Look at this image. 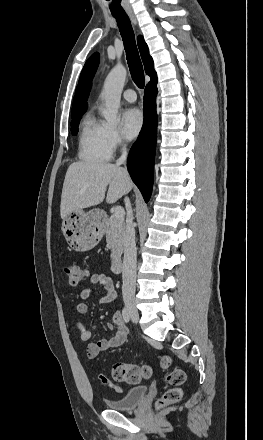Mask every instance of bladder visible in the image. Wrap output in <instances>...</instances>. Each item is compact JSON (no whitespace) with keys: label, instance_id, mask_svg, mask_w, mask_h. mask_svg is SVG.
Returning <instances> with one entry per match:
<instances>
[{"label":"bladder","instance_id":"bladder-1","mask_svg":"<svg viewBox=\"0 0 263 440\" xmlns=\"http://www.w3.org/2000/svg\"><path fill=\"white\" fill-rule=\"evenodd\" d=\"M148 388L137 386L130 388L122 397L106 399L105 404L111 410L129 411L134 409L146 396Z\"/></svg>","mask_w":263,"mask_h":440}]
</instances>
